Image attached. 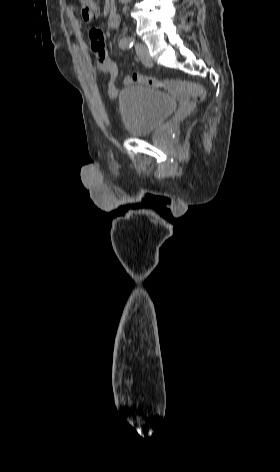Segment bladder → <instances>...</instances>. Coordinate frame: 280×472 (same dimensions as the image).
I'll return each mask as SVG.
<instances>
[{
  "instance_id": "bladder-1",
  "label": "bladder",
  "mask_w": 280,
  "mask_h": 472,
  "mask_svg": "<svg viewBox=\"0 0 280 472\" xmlns=\"http://www.w3.org/2000/svg\"><path fill=\"white\" fill-rule=\"evenodd\" d=\"M170 95L144 86L130 85L118 94V109L127 135L138 138L157 131L176 110Z\"/></svg>"
}]
</instances>
